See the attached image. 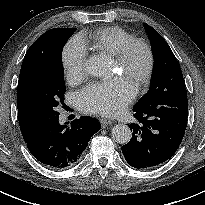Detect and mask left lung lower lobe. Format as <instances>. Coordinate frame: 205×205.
<instances>
[{
	"label": "left lung lower lobe",
	"instance_id": "0a47b994",
	"mask_svg": "<svg viewBox=\"0 0 205 205\" xmlns=\"http://www.w3.org/2000/svg\"><path fill=\"white\" fill-rule=\"evenodd\" d=\"M132 138L122 147L129 165L137 169L158 166L178 149L187 126V91L133 109Z\"/></svg>",
	"mask_w": 205,
	"mask_h": 205
}]
</instances>
